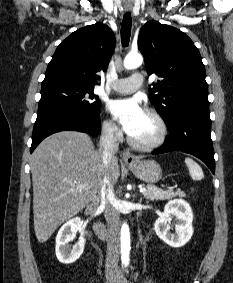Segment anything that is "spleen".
Instances as JSON below:
<instances>
[{"label":"spleen","mask_w":233,"mask_h":283,"mask_svg":"<svg viewBox=\"0 0 233 283\" xmlns=\"http://www.w3.org/2000/svg\"><path fill=\"white\" fill-rule=\"evenodd\" d=\"M185 164L187 165L189 169L190 176L193 180H201L204 178V173L201 169V167L193 161L191 158L185 159Z\"/></svg>","instance_id":"obj_1"}]
</instances>
